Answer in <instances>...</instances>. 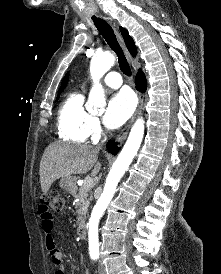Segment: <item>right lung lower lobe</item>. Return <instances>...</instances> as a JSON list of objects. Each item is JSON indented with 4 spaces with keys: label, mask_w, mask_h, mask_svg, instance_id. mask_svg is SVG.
<instances>
[{
    "label": "right lung lower lobe",
    "mask_w": 221,
    "mask_h": 274,
    "mask_svg": "<svg viewBox=\"0 0 221 274\" xmlns=\"http://www.w3.org/2000/svg\"><path fill=\"white\" fill-rule=\"evenodd\" d=\"M147 87V82L144 73L139 70L137 75H136V88L137 90L141 92H145ZM115 143L114 141H109L107 143V149L109 150L110 153L116 154L119 150V147L113 146Z\"/></svg>",
    "instance_id": "1"
}]
</instances>
